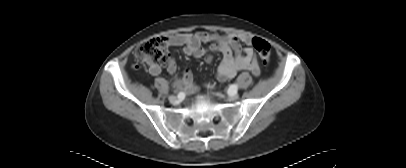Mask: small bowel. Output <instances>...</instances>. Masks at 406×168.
Wrapping results in <instances>:
<instances>
[{
  "label": "small bowel",
  "instance_id": "1",
  "mask_svg": "<svg viewBox=\"0 0 406 168\" xmlns=\"http://www.w3.org/2000/svg\"><path fill=\"white\" fill-rule=\"evenodd\" d=\"M170 46L183 47V51L188 56L200 58L206 55L207 62H211L212 57L209 52H219L222 60L217 69V79L220 82L232 79L240 71H250L254 76L260 74V67L257 56L251 47H242L241 43L249 44L251 37L248 34H225L209 33L199 31L196 33H179L167 38ZM202 43H211L208 49L202 47ZM149 71L153 75L161 72L160 65H151ZM167 71L172 75L174 86L194 94L198 91V86L194 83L192 73L186 70L182 77H177V65L173 59L167 63Z\"/></svg>",
  "mask_w": 406,
  "mask_h": 168
}]
</instances>
